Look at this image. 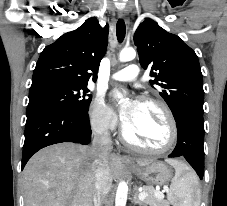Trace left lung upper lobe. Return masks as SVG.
<instances>
[{
  "label": "left lung upper lobe",
  "instance_id": "obj_1",
  "mask_svg": "<svg viewBox=\"0 0 227 206\" xmlns=\"http://www.w3.org/2000/svg\"><path fill=\"white\" fill-rule=\"evenodd\" d=\"M134 43L141 66L151 68L155 77L150 83L158 87L175 120L187 109L203 111V77L193 49L151 19L139 25Z\"/></svg>",
  "mask_w": 227,
  "mask_h": 206
}]
</instances>
